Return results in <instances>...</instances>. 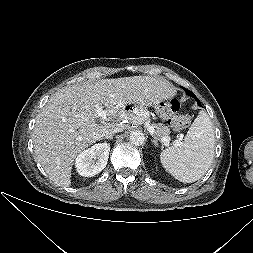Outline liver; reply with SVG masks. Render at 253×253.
<instances>
[{
	"label": "liver",
	"mask_w": 253,
	"mask_h": 253,
	"mask_svg": "<svg viewBox=\"0 0 253 253\" xmlns=\"http://www.w3.org/2000/svg\"><path fill=\"white\" fill-rule=\"evenodd\" d=\"M176 88L163 78L133 76L70 85L51 95L36 117L33 130L37 161L56 185L69 187L74 159L100 140L106 131L129 123L140 125L148 117L145 106L174 97ZM135 104L133 110H126ZM106 119L97 123L96 108Z\"/></svg>",
	"instance_id": "obj_1"
}]
</instances>
